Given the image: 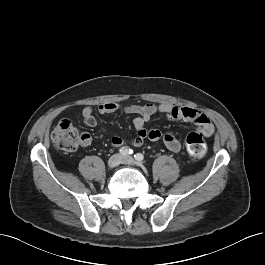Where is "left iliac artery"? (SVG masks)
I'll list each match as a JSON object with an SVG mask.
<instances>
[{"label":"left iliac artery","instance_id":"left-iliac-artery-1","mask_svg":"<svg viewBox=\"0 0 265 265\" xmlns=\"http://www.w3.org/2000/svg\"><path fill=\"white\" fill-rule=\"evenodd\" d=\"M134 157H135V159H136L137 161H139V162L143 161V159H144V156H143V154H141V153H137V154H135Z\"/></svg>","mask_w":265,"mask_h":265}]
</instances>
